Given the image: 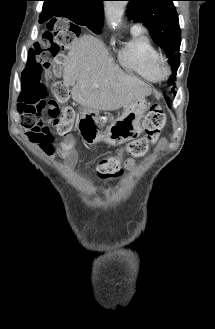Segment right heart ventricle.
Here are the masks:
<instances>
[{
  "instance_id": "e07e8e85",
  "label": "right heart ventricle",
  "mask_w": 215,
  "mask_h": 329,
  "mask_svg": "<svg viewBox=\"0 0 215 329\" xmlns=\"http://www.w3.org/2000/svg\"><path fill=\"white\" fill-rule=\"evenodd\" d=\"M131 33V38L117 52L119 64L127 72L136 74L146 81L159 82L161 77L156 69V61L161 55L160 51L144 31Z\"/></svg>"
}]
</instances>
